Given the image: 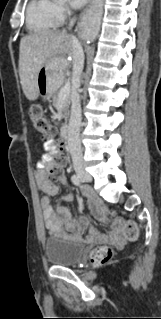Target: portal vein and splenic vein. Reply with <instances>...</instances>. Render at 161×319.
Here are the masks:
<instances>
[{"instance_id": "1", "label": "portal vein and splenic vein", "mask_w": 161, "mask_h": 319, "mask_svg": "<svg viewBox=\"0 0 161 319\" xmlns=\"http://www.w3.org/2000/svg\"><path fill=\"white\" fill-rule=\"evenodd\" d=\"M70 94V83H66L59 92V99H66Z\"/></svg>"}]
</instances>
